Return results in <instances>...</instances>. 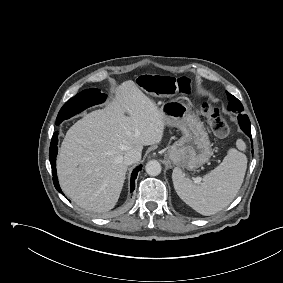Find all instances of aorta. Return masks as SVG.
<instances>
[{"instance_id":"aorta-1","label":"aorta","mask_w":283,"mask_h":283,"mask_svg":"<svg viewBox=\"0 0 283 283\" xmlns=\"http://www.w3.org/2000/svg\"><path fill=\"white\" fill-rule=\"evenodd\" d=\"M146 172L150 176H157L161 173V164L157 160H151L146 164Z\"/></svg>"}]
</instances>
